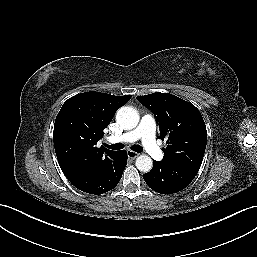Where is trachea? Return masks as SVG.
<instances>
[{
	"instance_id": "1",
	"label": "trachea",
	"mask_w": 257,
	"mask_h": 257,
	"mask_svg": "<svg viewBox=\"0 0 257 257\" xmlns=\"http://www.w3.org/2000/svg\"><path fill=\"white\" fill-rule=\"evenodd\" d=\"M105 146L112 150H120V149L124 148V145L122 143H117V144H112V145L105 144ZM131 149L138 153H141L143 151V148L139 145H133V146H131Z\"/></svg>"
}]
</instances>
